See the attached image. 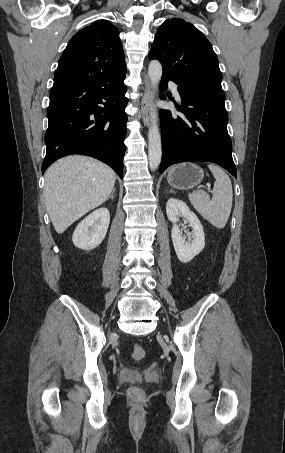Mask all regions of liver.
Listing matches in <instances>:
<instances>
[{"mask_svg":"<svg viewBox=\"0 0 285 453\" xmlns=\"http://www.w3.org/2000/svg\"><path fill=\"white\" fill-rule=\"evenodd\" d=\"M115 172L86 156H67L45 173V205L58 234L103 204L114 189Z\"/></svg>","mask_w":285,"mask_h":453,"instance_id":"6515ba94","label":"liver"}]
</instances>
